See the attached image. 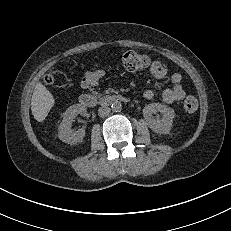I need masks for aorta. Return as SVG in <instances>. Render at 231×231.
<instances>
[{
  "label": "aorta",
  "instance_id": "1",
  "mask_svg": "<svg viewBox=\"0 0 231 231\" xmlns=\"http://www.w3.org/2000/svg\"><path fill=\"white\" fill-rule=\"evenodd\" d=\"M111 108L114 112H119L122 109V105L120 101H114L111 105Z\"/></svg>",
  "mask_w": 231,
  "mask_h": 231
}]
</instances>
